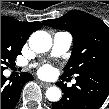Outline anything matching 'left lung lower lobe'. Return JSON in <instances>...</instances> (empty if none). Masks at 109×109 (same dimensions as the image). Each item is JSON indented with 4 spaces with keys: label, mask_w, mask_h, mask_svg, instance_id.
Instances as JSON below:
<instances>
[{
    "label": "left lung lower lobe",
    "mask_w": 109,
    "mask_h": 109,
    "mask_svg": "<svg viewBox=\"0 0 109 109\" xmlns=\"http://www.w3.org/2000/svg\"><path fill=\"white\" fill-rule=\"evenodd\" d=\"M57 85L64 95L59 102L52 103L53 109H99L109 95V72L89 70L77 76L71 88Z\"/></svg>",
    "instance_id": "left-lung-lower-lobe-1"
}]
</instances>
